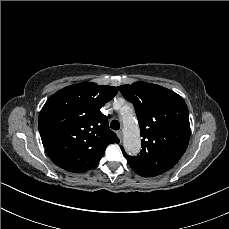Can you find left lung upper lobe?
<instances>
[{
	"label": "left lung upper lobe",
	"mask_w": 229,
	"mask_h": 229,
	"mask_svg": "<svg viewBox=\"0 0 229 229\" xmlns=\"http://www.w3.org/2000/svg\"><path fill=\"white\" fill-rule=\"evenodd\" d=\"M136 110L143 139L138 156H129L130 167L139 175H160L179 161L190 138L189 111L183 98L159 85L136 82L118 87Z\"/></svg>",
	"instance_id": "5c2ea615"
}]
</instances>
